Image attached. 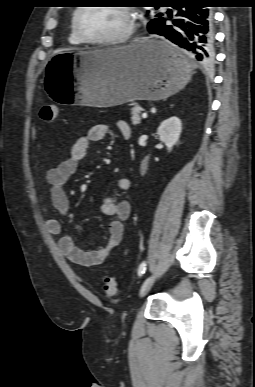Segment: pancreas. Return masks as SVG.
<instances>
[{"instance_id": "obj_1", "label": "pancreas", "mask_w": 255, "mask_h": 387, "mask_svg": "<svg viewBox=\"0 0 255 387\" xmlns=\"http://www.w3.org/2000/svg\"><path fill=\"white\" fill-rule=\"evenodd\" d=\"M131 110V121L133 125L141 123L140 112L142 108L139 105H133Z\"/></svg>"}]
</instances>
